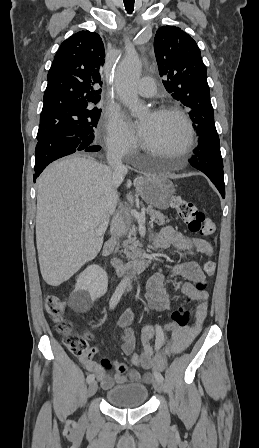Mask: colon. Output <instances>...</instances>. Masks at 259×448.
<instances>
[{
	"label": "colon",
	"mask_w": 259,
	"mask_h": 448,
	"mask_svg": "<svg viewBox=\"0 0 259 448\" xmlns=\"http://www.w3.org/2000/svg\"><path fill=\"white\" fill-rule=\"evenodd\" d=\"M172 207L191 232L203 236H213L215 234L216 225L214 221L198 210L193 202L175 195L172 197ZM215 267L214 261L208 260L205 262L204 272L207 277L214 275ZM206 285L207 282L205 279L204 281L197 282L196 288L203 290ZM45 309L55 322L56 330L65 336L64 342L68 350L76 356H86L90 351L88 342L83 336L72 331L70 322L65 318L66 305L64 301L58 296L50 294L45 299ZM188 321L189 311L184 306H180L172 312L171 321L168 324L172 328H182L188 325ZM131 361L134 365H139L141 355L137 353L133 354Z\"/></svg>",
	"instance_id": "obj_1"
}]
</instances>
